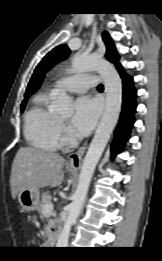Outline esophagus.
Segmentation results:
<instances>
[{"label": "esophagus", "mask_w": 162, "mask_h": 261, "mask_svg": "<svg viewBox=\"0 0 162 261\" xmlns=\"http://www.w3.org/2000/svg\"><path fill=\"white\" fill-rule=\"evenodd\" d=\"M88 143H85L82 147H80L76 152L70 154L67 160V167L78 170L81 167L82 158L87 148Z\"/></svg>", "instance_id": "obj_1"}]
</instances>
